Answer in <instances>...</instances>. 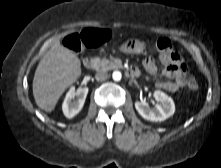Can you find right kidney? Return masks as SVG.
<instances>
[{"label":"right kidney","mask_w":221,"mask_h":168,"mask_svg":"<svg viewBox=\"0 0 221 168\" xmlns=\"http://www.w3.org/2000/svg\"><path fill=\"white\" fill-rule=\"evenodd\" d=\"M87 94V87H81L77 90L74 87L70 88L62 104L63 113L67 118L71 119L81 111Z\"/></svg>","instance_id":"ca27d5eb"}]
</instances>
